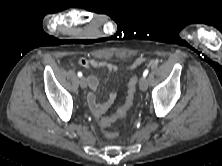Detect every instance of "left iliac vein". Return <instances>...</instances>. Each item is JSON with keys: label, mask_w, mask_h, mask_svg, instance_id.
Returning <instances> with one entry per match:
<instances>
[{"label": "left iliac vein", "mask_w": 222, "mask_h": 166, "mask_svg": "<svg viewBox=\"0 0 222 166\" xmlns=\"http://www.w3.org/2000/svg\"><path fill=\"white\" fill-rule=\"evenodd\" d=\"M139 87L142 91H146L148 88V83L145 77L139 79Z\"/></svg>", "instance_id": "1"}]
</instances>
